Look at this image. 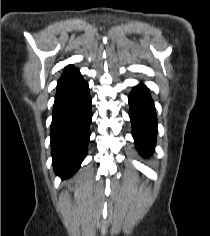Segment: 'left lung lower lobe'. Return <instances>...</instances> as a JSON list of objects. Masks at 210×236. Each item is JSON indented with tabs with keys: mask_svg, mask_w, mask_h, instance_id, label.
Segmentation results:
<instances>
[{
	"mask_svg": "<svg viewBox=\"0 0 210 236\" xmlns=\"http://www.w3.org/2000/svg\"><path fill=\"white\" fill-rule=\"evenodd\" d=\"M129 104L136 148L148 155L153 151L157 132L155 107L148 89L143 85L134 87L129 95Z\"/></svg>",
	"mask_w": 210,
	"mask_h": 236,
	"instance_id": "left-lung-lower-lobe-1",
	"label": "left lung lower lobe"
}]
</instances>
